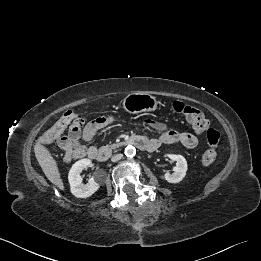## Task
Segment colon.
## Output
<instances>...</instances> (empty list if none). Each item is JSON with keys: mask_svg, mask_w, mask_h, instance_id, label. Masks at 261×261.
I'll return each instance as SVG.
<instances>
[{"mask_svg": "<svg viewBox=\"0 0 261 261\" xmlns=\"http://www.w3.org/2000/svg\"><path fill=\"white\" fill-rule=\"evenodd\" d=\"M172 109L174 112L183 115L195 132L200 134L205 133L208 147L203 153L202 162L205 165L212 164L217 157V147L220 141L219 131L211 128L202 110L194 106L175 101L172 104ZM83 127L84 121L79 114L73 111H67L52 128L40 137L39 141L43 144H49L54 141L63 144L67 141L77 139ZM67 128H69V135L63 136Z\"/></svg>", "mask_w": 261, "mask_h": 261, "instance_id": "1", "label": "colon"}]
</instances>
